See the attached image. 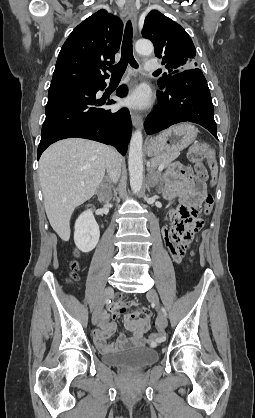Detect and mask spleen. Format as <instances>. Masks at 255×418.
I'll return each mask as SVG.
<instances>
[{"label":"spleen","mask_w":255,"mask_h":418,"mask_svg":"<svg viewBox=\"0 0 255 418\" xmlns=\"http://www.w3.org/2000/svg\"><path fill=\"white\" fill-rule=\"evenodd\" d=\"M209 154H210V157H212L213 152H212V151H210V152H209Z\"/></svg>","instance_id":"spleen-1"}]
</instances>
